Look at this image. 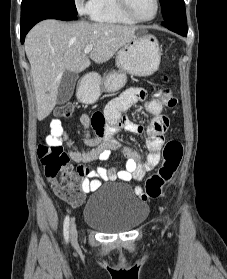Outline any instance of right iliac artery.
I'll use <instances>...</instances> for the list:
<instances>
[{"mask_svg": "<svg viewBox=\"0 0 227 279\" xmlns=\"http://www.w3.org/2000/svg\"><path fill=\"white\" fill-rule=\"evenodd\" d=\"M69 216H66L64 219V238L66 240V242L69 239Z\"/></svg>", "mask_w": 227, "mask_h": 279, "instance_id": "82829eb1", "label": "right iliac artery"}]
</instances>
